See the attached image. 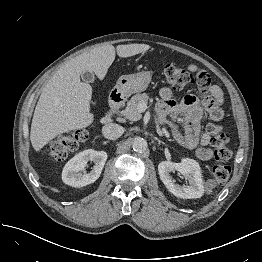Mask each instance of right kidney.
Instances as JSON below:
<instances>
[{
  "label": "right kidney",
  "mask_w": 262,
  "mask_h": 262,
  "mask_svg": "<svg viewBox=\"0 0 262 262\" xmlns=\"http://www.w3.org/2000/svg\"><path fill=\"white\" fill-rule=\"evenodd\" d=\"M106 160L107 153L105 151L84 150L66 163L62 172V180L72 187H83L91 184L100 177ZM89 161L94 162L93 170L82 174L81 171Z\"/></svg>",
  "instance_id": "1"
}]
</instances>
